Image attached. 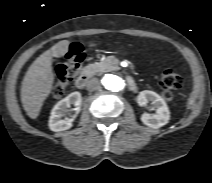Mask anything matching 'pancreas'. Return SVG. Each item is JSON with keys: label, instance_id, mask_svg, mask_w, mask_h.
<instances>
[{"label": "pancreas", "instance_id": "cf45deb5", "mask_svg": "<svg viewBox=\"0 0 212 183\" xmlns=\"http://www.w3.org/2000/svg\"><path fill=\"white\" fill-rule=\"evenodd\" d=\"M119 59L113 56L107 57L100 62H95L86 67V72H89L90 75L101 74L105 72H112L119 70L118 66Z\"/></svg>", "mask_w": 212, "mask_h": 183}]
</instances>
